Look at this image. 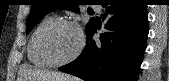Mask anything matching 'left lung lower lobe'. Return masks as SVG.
Wrapping results in <instances>:
<instances>
[{
  "label": "left lung lower lobe",
  "instance_id": "0a47b994",
  "mask_svg": "<svg viewBox=\"0 0 169 81\" xmlns=\"http://www.w3.org/2000/svg\"><path fill=\"white\" fill-rule=\"evenodd\" d=\"M107 32L95 43L94 23L87 45L73 62L59 68L85 81H137L147 46L148 13L142 0H102Z\"/></svg>",
  "mask_w": 169,
  "mask_h": 81
}]
</instances>
